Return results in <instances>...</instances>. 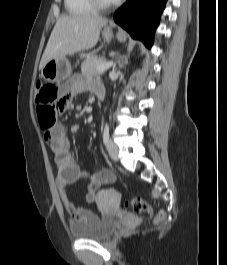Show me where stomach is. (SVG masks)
<instances>
[{
    "label": "stomach",
    "mask_w": 227,
    "mask_h": 265,
    "mask_svg": "<svg viewBox=\"0 0 227 265\" xmlns=\"http://www.w3.org/2000/svg\"><path fill=\"white\" fill-rule=\"evenodd\" d=\"M103 37L106 41H110L113 37V31L106 28L103 31ZM116 37L119 41L126 39L125 34L122 31H118ZM72 73V67L67 58L52 59L41 70V76L48 82L56 83L63 81Z\"/></svg>",
    "instance_id": "stomach-1"
}]
</instances>
